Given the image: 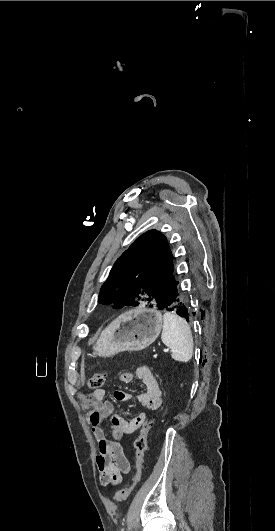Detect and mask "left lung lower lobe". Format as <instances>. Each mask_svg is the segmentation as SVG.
<instances>
[{
	"mask_svg": "<svg viewBox=\"0 0 275 531\" xmlns=\"http://www.w3.org/2000/svg\"><path fill=\"white\" fill-rule=\"evenodd\" d=\"M164 308H166L167 311L175 312L176 314L185 318L189 322L191 312L189 310L185 296L182 294V292L177 291V294L173 297L170 303Z\"/></svg>",
	"mask_w": 275,
	"mask_h": 531,
	"instance_id": "obj_1",
	"label": "left lung lower lobe"
}]
</instances>
